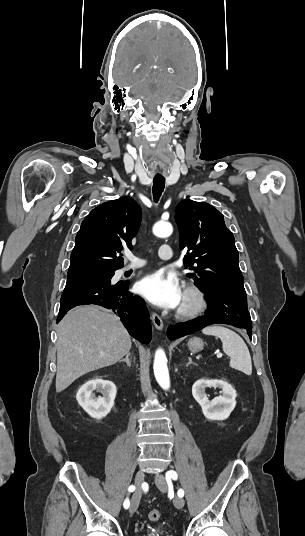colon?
<instances>
[{"label": "colon", "mask_w": 305, "mask_h": 536, "mask_svg": "<svg viewBox=\"0 0 305 536\" xmlns=\"http://www.w3.org/2000/svg\"><path fill=\"white\" fill-rule=\"evenodd\" d=\"M161 513L158 509H153L149 512L148 518L151 521H157L160 519Z\"/></svg>", "instance_id": "obj_1"}]
</instances>
